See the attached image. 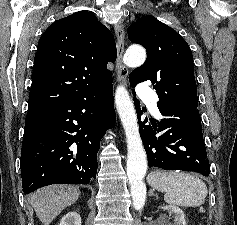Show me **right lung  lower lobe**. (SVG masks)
Wrapping results in <instances>:
<instances>
[{
	"instance_id": "1",
	"label": "right lung lower lobe",
	"mask_w": 237,
	"mask_h": 225,
	"mask_svg": "<svg viewBox=\"0 0 237 225\" xmlns=\"http://www.w3.org/2000/svg\"><path fill=\"white\" fill-rule=\"evenodd\" d=\"M115 119L112 82L65 102L29 108L20 163L23 191L90 183L100 140Z\"/></svg>"
}]
</instances>
